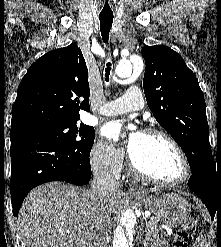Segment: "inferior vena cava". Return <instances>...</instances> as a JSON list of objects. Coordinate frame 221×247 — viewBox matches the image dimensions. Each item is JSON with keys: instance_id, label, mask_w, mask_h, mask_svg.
<instances>
[{"instance_id": "1", "label": "inferior vena cava", "mask_w": 221, "mask_h": 247, "mask_svg": "<svg viewBox=\"0 0 221 247\" xmlns=\"http://www.w3.org/2000/svg\"><path fill=\"white\" fill-rule=\"evenodd\" d=\"M118 183L110 174L108 166L95 167L93 169V180L91 183L90 195L96 202L103 206L108 199L116 192ZM106 232L101 231L95 238V247H109L106 240Z\"/></svg>"}]
</instances>
